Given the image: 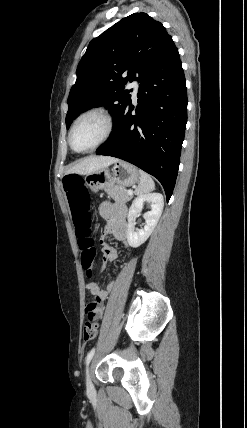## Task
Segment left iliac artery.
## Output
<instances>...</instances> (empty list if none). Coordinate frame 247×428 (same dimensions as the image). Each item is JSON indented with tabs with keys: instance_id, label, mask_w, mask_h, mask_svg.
<instances>
[{
	"instance_id": "44dca946",
	"label": "left iliac artery",
	"mask_w": 247,
	"mask_h": 428,
	"mask_svg": "<svg viewBox=\"0 0 247 428\" xmlns=\"http://www.w3.org/2000/svg\"><path fill=\"white\" fill-rule=\"evenodd\" d=\"M95 353V348L91 349L90 352L86 356V365H88L93 358V355Z\"/></svg>"
}]
</instances>
